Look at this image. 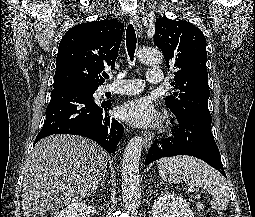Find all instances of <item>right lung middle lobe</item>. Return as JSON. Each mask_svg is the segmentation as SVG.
Instances as JSON below:
<instances>
[{"label":"right lung middle lobe","instance_id":"obj_1","mask_svg":"<svg viewBox=\"0 0 255 217\" xmlns=\"http://www.w3.org/2000/svg\"><path fill=\"white\" fill-rule=\"evenodd\" d=\"M58 88L70 89V90H83L88 92L89 94H93L97 90V87H90V86H83V85H65Z\"/></svg>","mask_w":255,"mask_h":217}]
</instances>
